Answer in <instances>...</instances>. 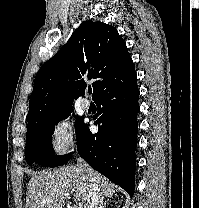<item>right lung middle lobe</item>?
<instances>
[{
  "instance_id": "dd1d6c3e",
  "label": "right lung middle lobe",
  "mask_w": 199,
  "mask_h": 208,
  "mask_svg": "<svg viewBox=\"0 0 199 208\" xmlns=\"http://www.w3.org/2000/svg\"><path fill=\"white\" fill-rule=\"evenodd\" d=\"M70 113L68 112L27 132L25 159L28 164L35 162L41 166L55 167L63 165L69 160L71 153L62 156L55 155L52 147V134L55 128L54 124H57L60 119L67 118ZM85 126L83 117H77L75 123L77 141H79Z\"/></svg>"
}]
</instances>
